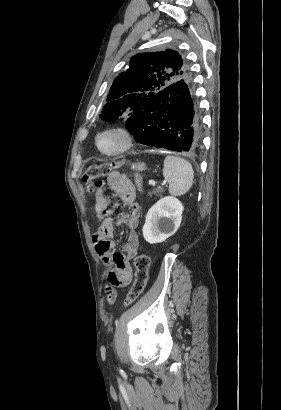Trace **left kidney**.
Wrapping results in <instances>:
<instances>
[{
    "label": "left kidney",
    "mask_w": 281,
    "mask_h": 410,
    "mask_svg": "<svg viewBox=\"0 0 281 410\" xmlns=\"http://www.w3.org/2000/svg\"><path fill=\"white\" fill-rule=\"evenodd\" d=\"M183 209L177 198H161L147 212L142 229L144 239L150 244H156L172 236L181 224Z\"/></svg>",
    "instance_id": "1"
}]
</instances>
